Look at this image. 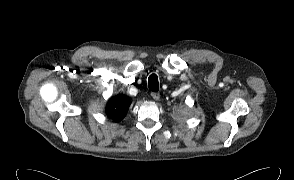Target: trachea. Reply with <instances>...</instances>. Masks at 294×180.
Listing matches in <instances>:
<instances>
[{
	"label": "trachea",
	"instance_id": "obj_1",
	"mask_svg": "<svg viewBox=\"0 0 294 180\" xmlns=\"http://www.w3.org/2000/svg\"><path fill=\"white\" fill-rule=\"evenodd\" d=\"M148 86H149V89L151 91H158L159 90V83H158V77L156 74H152L149 76L148 78Z\"/></svg>",
	"mask_w": 294,
	"mask_h": 180
}]
</instances>
